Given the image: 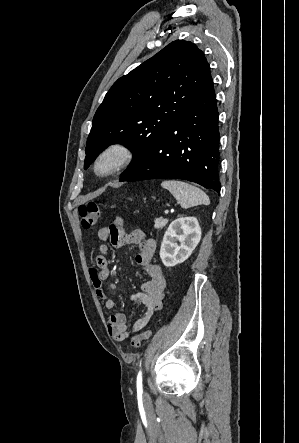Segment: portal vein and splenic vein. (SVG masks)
<instances>
[{
	"instance_id": "1",
	"label": "portal vein and splenic vein",
	"mask_w": 299,
	"mask_h": 443,
	"mask_svg": "<svg viewBox=\"0 0 299 443\" xmlns=\"http://www.w3.org/2000/svg\"><path fill=\"white\" fill-rule=\"evenodd\" d=\"M169 213V211L168 210H165V214H168Z\"/></svg>"
}]
</instances>
